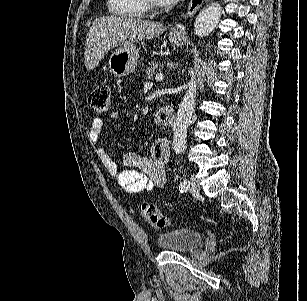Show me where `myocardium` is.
Here are the masks:
<instances>
[{"label": "myocardium", "mask_w": 307, "mask_h": 301, "mask_svg": "<svg viewBox=\"0 0 307 301\" xmlns=\"http://www.w3.org/2000/svg\"><path fill=\"white\" fill-rule=\"evenodd\" d=\"M146 1L148 2V5L143 6L144 13L142 14V17L156 18L158 16L157 12H168L166 4H158L157 0Z\"/></svg>", "instance_id": "myocardium-1"}]
</instances>
